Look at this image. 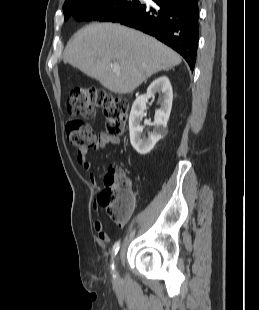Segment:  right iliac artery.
Listing matches in <instances>:
<instances>
[{
    "instance_id": "82829eb1",
    "label": "right iliac artery",
    "mask_w": 259,
    "mask_h": 310,
    "mask_svg": "<svg viewBox=\"0 0 259 310\" xmlns=\"http://www.w3.org/2000/svg\"><path fill=\"white\" fill-rule=\"evenodd\" d=\"M120 248V241L116 242L113 246V256H115ZM112 269H114V266L112 265Z\"/></svg>"
}]
</instances>
